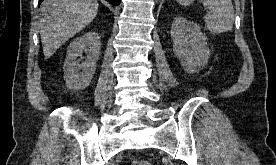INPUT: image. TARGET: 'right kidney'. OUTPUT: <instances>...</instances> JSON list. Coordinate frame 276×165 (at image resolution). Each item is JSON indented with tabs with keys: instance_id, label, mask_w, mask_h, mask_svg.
Returning a JSON list of instances; mask_svg holds the SVG:
<instances>
[{
	"instance_id": "1",
	"label": "right kidney",
	"mask_w": 276,
	"mask_h": 165,
	"mask_svg": "<svg viewBox=\"0 0 276 165\" xmlns=\"http://www.w3.org/2000/svg\"><path fill=\"white\" fill-rule=\"evenodd\" d=\"M100 37L94 31H89L76 38L69 46L63 66L66 86L72 90L85 89L91 82L100 55ZM85 52V61L78 57Z\"/></svg>"
}]
</instances>
